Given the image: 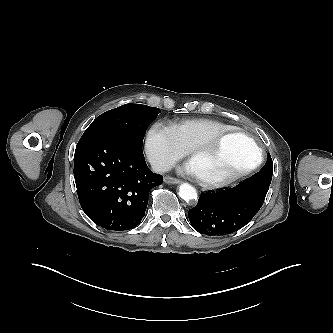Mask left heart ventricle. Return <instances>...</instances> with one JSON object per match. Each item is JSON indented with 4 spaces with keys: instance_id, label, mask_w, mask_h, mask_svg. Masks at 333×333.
I'll list each match as a JSON object with an SVG mask.
<instances>
[{
    "instance_id": "obj_1",
    "label": "left heart ventricle",
    "mask_w": 333,
    "mask_h": 333,
    "mask_svg": "<svg viewBox=\"0 0 333 333\" xmlns=\"http://www.w3.org/2000/svg\"><path fill=\"white\" fill-rule=\"evenodd\" d=\"M256 154L247 137L235 134L222 139L211 152L194 157L190 164L196 175L221 178L251 164Z\"/></svg>"
}]
</instances>
